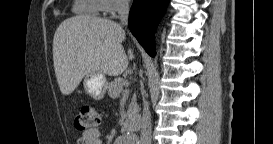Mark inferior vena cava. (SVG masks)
Returning a JSON list of instances; mask_svg holds the SVG:
<instances>
[{
  "label": "inferior vena cava",
  "mask_w": 273,
  "mask_h": 144,
  "mask_svg": "<svg viewBox=\"0 0 273 144\" xmlns=\"http://www.w3.org/2000/svg\"><path fill=\"white\" fill-rule=\"evenodd\" d=\"M117 11L122 25L128 24L129 3L128 0L116 1ZM151 114L149 111V103L143 97V117L141 123L140 144H151Z\"/></svg>",
  "instance_id": "obj_1"
}]
</instances>
